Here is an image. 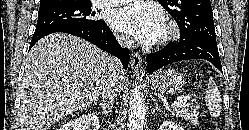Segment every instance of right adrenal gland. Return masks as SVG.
Wrapping results in <instances>:
<instances>
[{"label": "right adrenal gland", "mask_w": 249, "mask_h": 130, "mask_svg": "<svg viewBox=\"0 0 249 130\" xmlns=\"http://www.w3.org/2000/svg\"><path fill=\"white\" fill-rule=\"evenodd\" d=\"M97 104L102 108L103 113H104L105 115H108L109 112H110L111 109H112V104L109 103V102H106V101H103V103L95 102V105H97Z\"/></svg>", "instance_id": "2a0ac1e0"}]
</instances>
